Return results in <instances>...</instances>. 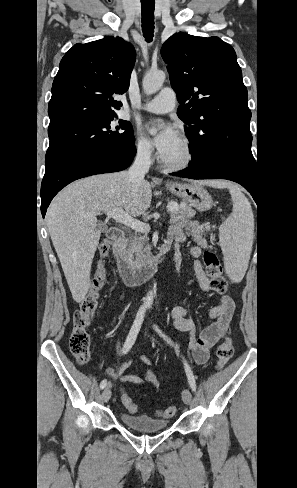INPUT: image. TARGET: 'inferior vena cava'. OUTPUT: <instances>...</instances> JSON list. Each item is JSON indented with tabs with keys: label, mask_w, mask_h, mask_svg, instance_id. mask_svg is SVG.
Masks as SVG:
<instances>
[{
	"label": "inferior vena cava",
	"mask_w": 297,
	"mask_h": 488,
	"mask_svg": "<svg viewBox=\"0 0 297 488\" xmlns=\"http://www.w3.org/2000/svg\"><path fill=\"white\" fill-rule=\"evenodd\" d=\"M151 148L148 145H139L134 163L128 174L132 182H141L151 165Z\"/></svg>",
	"instance_id": "1"
}]
</instances>
